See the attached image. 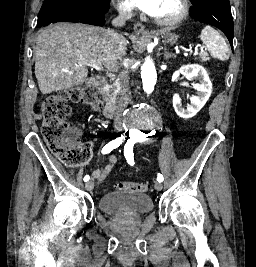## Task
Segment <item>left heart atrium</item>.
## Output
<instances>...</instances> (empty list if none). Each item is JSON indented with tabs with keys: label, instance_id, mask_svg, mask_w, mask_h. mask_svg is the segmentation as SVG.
<instances>
[{
	"label": "left heart atrium",
	"instance_id": "39dd6f15",
	"mask_svg": "<svg viewBox=\"0 0 256 267\" xmlns=\"http://www.w3.org/2000/svg\"><path fill=\"white\" fill-rule=\"evenodd\" d=\"M169 5L170 0H143L142 9L162 24V17Z\"/></svg>",
	"mask_w": 256,
	"mask_h": 267
}]
</instances>
